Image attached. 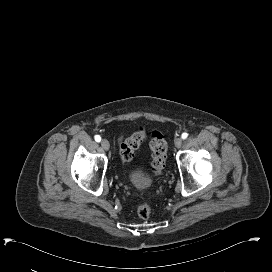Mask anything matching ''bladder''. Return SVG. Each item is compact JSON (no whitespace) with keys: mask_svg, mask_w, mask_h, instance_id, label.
<instances>
[{"mask_svg":"<svg viewBox=\"0 0 272 272\" xmlns=\"http://www.w3.org/2000/svg\"><path fill=\"white\" fill-rule=\"evenodd\" d=\"M129 181L134 187L140 189L149 188L151 185L150 179L147 176H144L143 174L138 172H133L130 175Z\"/></svg>","mask_w":272,"mask_h":272,"instance_id":"1","label":"bladder"}]
</instances>
